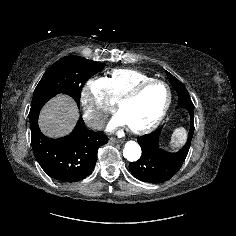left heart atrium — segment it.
Returning a JSON list of instances; mask_svg holds the SVG:
<instances>
[{"mask_svg": "<svg viewBox=\"0 0 236 236\" xmlns=\"http://www.w3.org/2000/svg\"><path fill=\"white\" fill-rule=\"evenodd\" d=\"M126 120L123 117L121 113L116 115L108 124L107 130L108 131H114L116 128L121 127V126H126Z\"/></svg>", "mask_w": 236, "mask_h": 236, "instance_id": "obj_1", "label": "left heart atrium"}]
</instances>
